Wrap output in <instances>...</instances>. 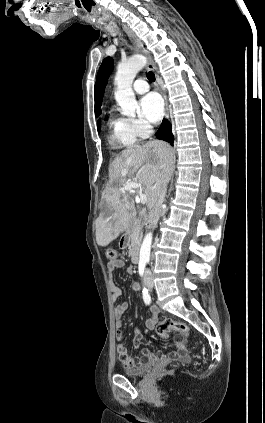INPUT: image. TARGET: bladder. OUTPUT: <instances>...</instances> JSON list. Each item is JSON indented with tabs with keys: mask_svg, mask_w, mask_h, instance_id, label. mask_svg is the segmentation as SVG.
Wrapping results in <instances>:
<instances>
[{
	"mask_svg": "<svg viewBox=\"0 0 265 423\" xmlns=\"http://www.w3.org/2000/svg\"><path fill=\"white\" fill-rule=\"evenodd\" d=\"M150 367V365L148 363H143L141 366L139 367H126L123 368L122 373L126 376L129 377H136V376H140L143 373H145L148 368Z\"/></svg>",
	"mask_w": 265,
	"mask_h": 423,
	"instance_id": "bladder-1",
	"label": "bladder"
}]
</instances>
